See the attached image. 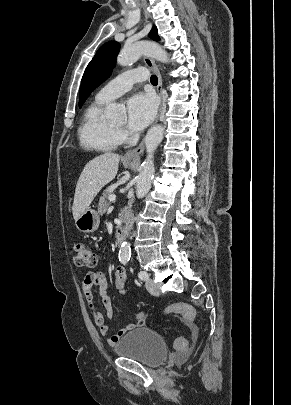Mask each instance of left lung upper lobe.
Listing matches in <instances>:
<instances>
[{
  "mask_svg": "<svg viewBox=\"0 0 291 405\" xmlns=\"http://www.w3.org/2000/svg\"><path fill=\"white\" fill-rule=\"evenodd\" d=\"M149 37L155 41L160 38L157 34V28L153 27L149 33ZM120 50V44L116 41H109L103 44L95 56L88 64L82 77L81 87L79 92V106L85 102L90 93L104 82L112 72L116 56Z\"/></svg>",
  "mask_w": 291,
  "mask_h": 405,
  "instance_id": "5c2ea615",
  "label": "left lung upper lobe"
}]
</instances>
